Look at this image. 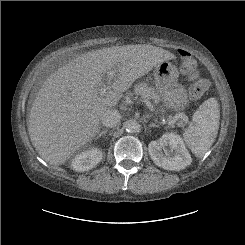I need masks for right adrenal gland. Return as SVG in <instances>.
I'll return each instance as SVG.
<instances>
[{"label":"right adrenal gland","instance_id":"right-adrenal-gland-1","mask_svg":"<svg viewBox=\"0 0 245 245\" xmlns=\"http://www.w3.org/2000/svg\"><path fill=\"white\" fill-rule=\"evenodd\" d=\"M107 132H108V130H103V131H101V132L95 137V140H98L101 136L106 135Z\"/></svg>","mask_w":245,"mask_h":245}]
</instances>
